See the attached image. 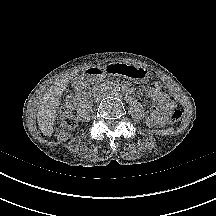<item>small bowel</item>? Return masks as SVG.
<instances>
[{
    "mask_svg": "<svg viewBox=\"0 0 216 216\" xmlns=\"http://www.w3.org/2000/svg\"><path fill=\"white\" fill-rule=\"evenodd\" d=\"M144 91L146 95L156 103V105L150 109L147 124L149 126H156L167 122L176 107L175 102L162 91L159 82H155L152 86L144 87Z\"/></svg>",
    "mask_w": 216,
    "mask_h": 216,
    "instance_id": "1",
    "label": "small bowel"
}]
</instances>
